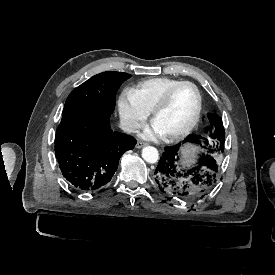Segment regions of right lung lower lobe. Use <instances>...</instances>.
I'll list each match as a JSON object with an SVG mask.
<instances>
[{"label":"right lung lower lobe","mask_w":275,"mask_h":275,"mask_svg":"<svg viewBox=\"0 0 275 275\" xmlns=\"http://www.w3.org/2000/svg\"><path fill=\"white\" fill-rule=\"evenodd\" d=\"M135 144L134 137L113 132L108 119L92 113H63L55 135V153L63 176L85 192L107 184L120 157Z\"/></svg>","instance_id":"98d812e1"}]
</instances>
